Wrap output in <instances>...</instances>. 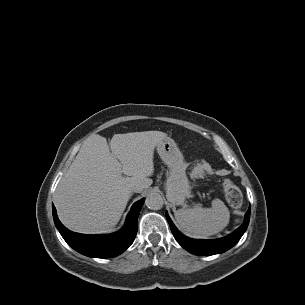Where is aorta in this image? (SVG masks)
I'll list each match as a JSON object with an SVG mask.
<instances>
[{"mask_svg": "<svg viewBox=\"0 0 305 305\" xmlns=\"http://www.w3.org/2000/svg\"><path fill=\"white\" fill-rule=\"evenodd\" d=\"M163 204V198L158 193L148 194L145 200V205L151 210H160L163 207Z\"/></svg>", "mask_w": 305, "mask_h": 305, "instance_id": "aorta-1", "label": "aorta"}]
</instances>
